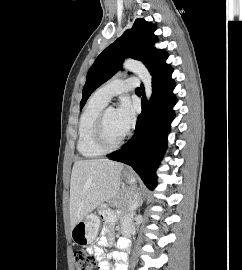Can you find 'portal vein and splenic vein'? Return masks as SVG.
Listing matches in <instances>:
<instances>
[{
    "label": "portal vein and splenic vein",
    "instance_id": "1",
    "mask_svg": "<svg viewBox=\"0 0 242 270\" xmlns=\"http://www.w3.org/2000/svg\"><path fill=\"white\" fill-rule=\"evenodd\" d=\"M135 208H136V200H135L134 204L132 206H130L129 210H133Z\"/></svg>",
    "mask_w": 242,
    "mask_h": 270
}]
</instances>
